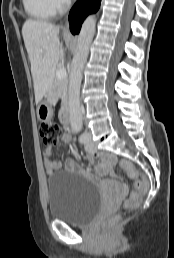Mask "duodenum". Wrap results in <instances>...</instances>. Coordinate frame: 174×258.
I'll list each match as a JSON object with an SVG mask.
<instances>
[{"label": "duodenum", "mask_w": 174, "mask_h": 258, "mask_svg": "<svg viewBox=\"0 0 174 258\" xmlns=\"http://www.w3.org/2000/svg\"><path fill=\"white\" fill-rule=\"evenodd\" d=\"M60 119L65 124L68 125L70 123V105L69 101L65 99L62 102V107L60 111Z\"/></svg>", "instance_id": "obj_1"}]
</instances>
